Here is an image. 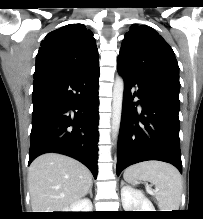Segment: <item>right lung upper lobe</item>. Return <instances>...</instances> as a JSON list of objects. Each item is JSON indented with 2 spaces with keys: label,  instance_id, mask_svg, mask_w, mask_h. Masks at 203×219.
I'll return each mask as SVG.
<instances>
[{
  "label": "right lung upper lobe",
  "instance_id": "obj_1",
  "mask_svg": "<svg viewBox=\"0 0 203 219\" xmlns=\"http://www.w3.org/2000/svg\"><path fill=\"white\" fill-rule=\"evenodd\" d=\"M98 63L93 33L83 24H69L50 32L42 41L36 56L34 78L90 71L99 67Z\"/></svg>",
  "mask_w": 203,
  "mask_h": 219
}]
</instances>
